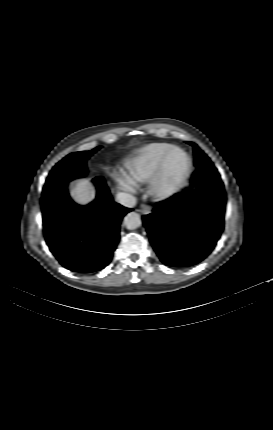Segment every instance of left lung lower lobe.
<instances>
[{"label": "left lung lower lobe", "mask_w": 273, "mask_h": 430, "mask_svg": "<svg viewBox=\"0 0 273 430\" xmlns=\"http://www.w3.org/2000/svg\"><path fill=\"white\" fill-rule=\"evenodd\" d=\"M193 184L197 185L195 193L186 188L143 216L153 248L171 267H190L204 260L224 228L226 197L214 165L197 168Z\"/></svg>", "instance_id": "obj_1"}]
</instances>
